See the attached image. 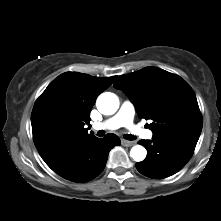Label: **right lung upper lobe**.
Here are the masks:
<instances>
[{"mask_svg":"<svg viewBox=\"0 0 221 221\" xmlns=\"http://www.w3.org/2000/svg\"><path fill=\"white\" fill-rule=\"evenodd\" d=\"M115 78L66 72L48 85L31 115L33 140L41 157L95 137L85 128L90 125L89 113Z\"/></svg>","mask_w":221,"mask_h":221,"instance_id":"right-lung-upper-lobe-1","label":"right lung upper lobe"}]
</instances>
